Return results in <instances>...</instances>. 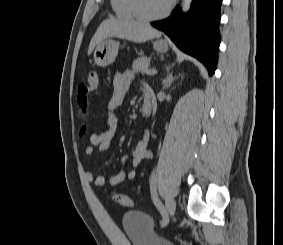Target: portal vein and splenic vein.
Here are the masks:
<instances>
[{"label":"portal vein and splenic vein","mask_w":283,"mask_h":245,"mask_svg":"<svg viewBox=\"0 0 283 245\" xmlns=\"http://www.w3.org/2000/svg\"><path fill=\"white\" fill-rule=\"evenodd\" d=\"M156 73H157L156 69L147 70V72H146L147 75H154Z\"/></svg>","instance_id":"1"}]
</instances>
